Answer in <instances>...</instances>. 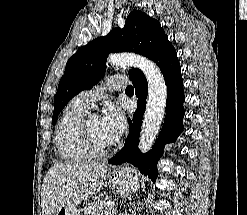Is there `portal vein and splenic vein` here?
Returning <instances> with one entry per match:
<instances>
[{
    "label": "portal vein and splenic vein",
    "instance_id": "18ae733b",
    "mask_svg": "<svg viewBox=\"0 0 247 215\" xmlns=\"http://www.w3.org/2000/svg\"><path fill=\"white\" fill-rule=\"evenodd\" d=\"M107 206L113 207L114 205L113 204H110V203H107Z\"/></svg>",
    "mask_w": 247,
    "mask_h": 215
}]
</instances>
